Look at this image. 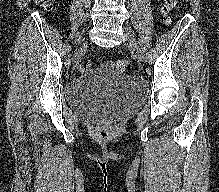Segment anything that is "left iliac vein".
I'll use <instances>...</instances> for the list:
<instances>
[{
	"label": "left iliac vein",
	"instance_id": "left-iliac-vein-1",
	"mask_svg": "<svg viewBox=\"0 0 219 192\" xmlns=\"http://www.w3.org/2000/svg\"><path fill=\"white\" fill-rule=\"evenodd\" d=\"M124 32L126 34V42L128 48L131 50L132 54L138 59L139 62H144V55L140 47L138 46L134 34L131 29L125 27Z\"/></svg>",
	"mask_w": 219,
	"mask_h": 192
}]
</instances>
